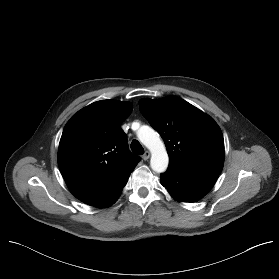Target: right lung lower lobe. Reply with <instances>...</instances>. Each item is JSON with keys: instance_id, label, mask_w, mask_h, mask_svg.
Wrapping results in <instances>:
<instances>
[{"instance_id": "right-lung-lower-lobe-1", "label": "right lung lower lobe", "mask_w": 279, "mask_h": 279, "mask_svg": "<svg viewBox=\"0 0 279 279\" xmlns=\"http://www.w3.org/2000/svg\"><path fill=\"white\" fill-rule=\"evenodd\" d=\"M126 183L120 185L119 187H117L116 189H114L113 191H111V192H109V193H107L105 195H102L100 197H97L95 199L87 201L85 203L88 204V205H91V206H96V207H108V206H111L119 198L120 193H121L123 187L126 185Z\"/></svg>"}]
</instances>
